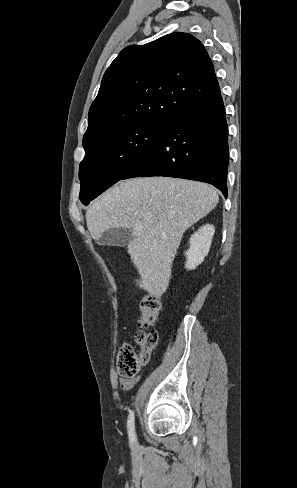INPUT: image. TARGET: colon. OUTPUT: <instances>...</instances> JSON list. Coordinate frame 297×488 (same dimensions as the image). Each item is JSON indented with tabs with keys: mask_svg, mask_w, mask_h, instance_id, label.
<instances>
[{
	"mask_svg": "<svg viewBox=\"0 0 297 488\" xmlns=\"http://www.w3.org/2000/svg\"><path fill=\"white\" fill-rule=\"evenodd\" d=\"M161 309L160 297L155 292L147 293L140 302V317L138 319V331L136 341L140 351L129 344H123L117 355V369L123 377H135L141 368L145 366L154 350L158 335L152 327L156 324Z\"/></svg>",
	"mask_w": 297,
	"mask_h": 488,
	"instance_id": "1",
	"label": "colon"
}]
</instances>
